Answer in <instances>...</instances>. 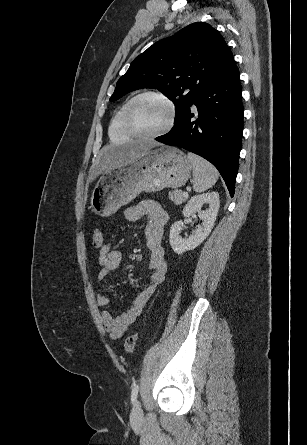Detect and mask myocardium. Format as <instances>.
Listing matches in <instances>:
<instances>
[{
  "instance_id": "obj_1",
  "label": "myocardium",
  "mask_w": 307,
  "mask_h": 445,
  "mask_svg": "<svg viewBox=\"0 0 307 445\" xmlns=\"http://www.w3.org/2000/svg\"><path fill=\"white\" fill-rule=\"evenodd\" d=\"M147 98H156L160 101H162L169 111V118L166 122V124L158 131L156 132H143L141 131L135 124L133 113L135 110L136 105ZM177 117V110L172 102V100L165 94L161 92H154V91H146L143 92L136 97H134L131 102L129 103L127 110H126V126L129 131V133L134 136L137 139H160L164 135H166L170 130L173 128L175 121Z\"/></svg>"
}]
</instances>
